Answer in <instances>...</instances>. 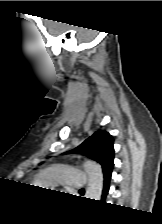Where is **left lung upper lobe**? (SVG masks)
I'll return each mask as SVG.
<instances>
[{
  "mask_svg": "<svg viewBox=\"0 0 162 224\" xmlns=\"http://www.w3.org/2000/svg\"><path fill=\"white\" fill-rule=\"evenodd\" d=\"M78 152H82L87 157L98 162L102 166L104 175L112 172L114 165V147L113 137L108 132L97 131L75 150L66 153Z\"/></svg>",
  "mask_w": 162,
  "mask_h": 224,
  "instance_id": "5c2ea615",
  "label": "left lung upper lobe"
}]
</instances>
